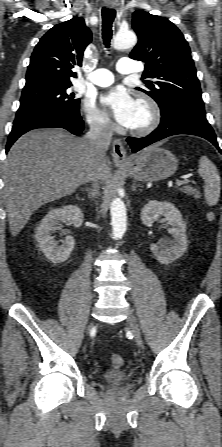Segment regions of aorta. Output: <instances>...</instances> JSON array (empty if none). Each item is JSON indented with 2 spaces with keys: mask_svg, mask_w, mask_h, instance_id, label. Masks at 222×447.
Returning a JSON list of instances; mask_svg holds the SVG:
<instances>
[{
  "mask_svg": "<svg viewBox=\"0 0 222 447\" xmlns=\"http://www.w3.org/2000/svg\"><path fill=\"white\" fill-rule=\"evenodd\" d=\"M137 42V37L133 31H119L113 40V47L117 50L133 47ZM111 225L115 239L121 238L126 231V206L120 198H115L110 205Z\"/></svg>",
  "mask_w": 222,
  "mask_h": 447,
  "instance_id": "aorta-1",
  "label": "aorta"
}]
</instances>
